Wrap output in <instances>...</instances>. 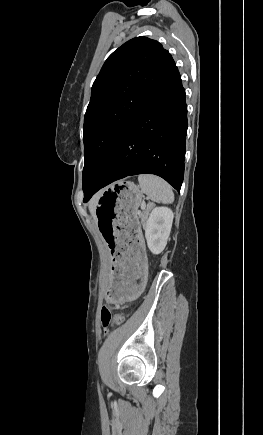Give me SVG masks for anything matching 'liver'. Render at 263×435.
<instances>
[{
	"label": "liver",
	"instance_id": "obj_1",
	"mask_svg": "<svg viewBox=\"0 0 263 435\" xmlns=\"http://www.w3.org/2000/svg\"><path fill=\"white\" fill-rule=\"evenodd\" d=\"M89 210H90L91 214H92V215L94 216V218H95L94 208H93L92 205L89 206Z\"/></svg>",
	"mask_w": 263,
	"mask_h": 435
}]
</instances>
